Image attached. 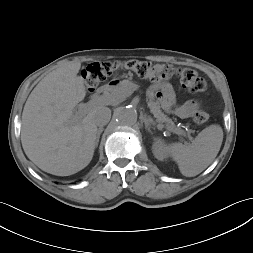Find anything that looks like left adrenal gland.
<instances>
[{"instance_id": "obj_1", "label": "left adrenal gland", "mask_w": 253, "mask_h": 253, "mask_svg": "<svg viewBox=\"0 0 253 253\" xmlns=\"http://www.w3.org/2000/svg\"><path fill=\"white\" fill-rule=\"evenodd\" d=\"M143 122L148 132H151V127L156 125L155 121H153L151 117H147L146 115L143 117Z\"/></svg>"}]
</instances>
